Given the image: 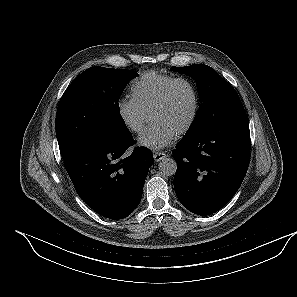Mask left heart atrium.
<instances>
[{
	"label": "left heart atrium",
	"mask_w": 297,
	"mask_h": 297,
	"mask_svg": "<svg viewBox=\"0 0 297 297\" xmlns=\"http://www.w3.org/2000/svg\"><path fill=\"white\" fill-rule=\"evenodd\" d=\"M175 135L166 125L153 122L141 135L139 143L146 148L158 150L170 145Z\"/></svg>",
	"instance_id": "obj_1"
}]
</instances>
